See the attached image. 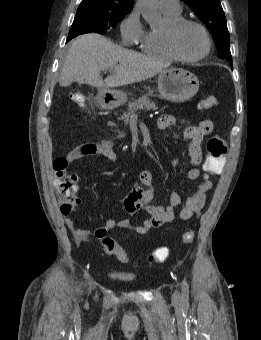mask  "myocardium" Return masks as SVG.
<instances>
[{
    "label": "myocardium",
    "instance_id": "obj_1",
    "mask_svg": "<svg viewBox=\"0 0 261 340\" xmlns=\"http://www.w3.org/2000/svg\"><path fill=\"white\" fill-rule=\"evenodd\" d=\"M186 25H194L198 27L205 37L206 48L203 51V53H201L198 56L186 57L179 51L177 47L178 34L180 30ZM166 42H167L168 49L170 50V52L174 55L176 59L183 61V62H188V63L197 62L205 58L210 53L211 46H212L211 38L206 27L199 21L190 19V18H180L174 23H172L166 30Z\"/></svg>",
    "mask_w": 261,
    "mask_h": 340
}]
</instances>
